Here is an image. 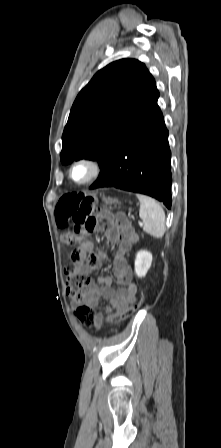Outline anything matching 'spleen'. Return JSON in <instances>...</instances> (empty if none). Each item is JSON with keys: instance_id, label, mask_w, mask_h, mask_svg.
Listing matches in <instances>:
<instances>
[{"instance_id": "3e777b00", "label": "spleen", "mask_w": 221, "mask_h": 448, "mask_svg": "<svg viewBox=\"0 0 221 448\" xmlns=\"http://www.w3.org/2000/svg\"><path fill=\"white\" fill-rule=\"evenodd\" d=\"M140 201L139 216L143 220V231L155 237L162 238L166 231L165 212L153 198L137 194Z\"/></svg>"}]
</instances>
